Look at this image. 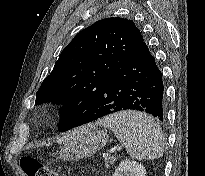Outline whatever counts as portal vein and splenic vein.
<instances>
[{"label": "portal vein and splenic vein", "mask_w": 205, "mask_h": 176, "mask_svg": "<svg viewBox=\"0 0 205 176\" xmlns=\"http://www.w3.org/2000/svg\"><path fill=\"white\" fill-rule=\"evenodd\" d=\"M115 152V148H111L110 149V153H114ZM108 154H105V156H107Z\"/></svg>", "instance_id": "portal-vein-and-splenic-vein-1"}]
</instances>
